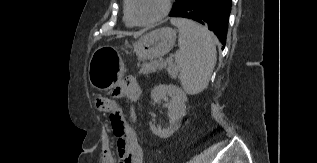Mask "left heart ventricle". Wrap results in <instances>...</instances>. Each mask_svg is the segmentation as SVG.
Returning <instances> with one entry per match:
<instances>
[{"instance_id": "obj_1", "label": "left heart ventricle", "mask_w": 317, "mask_h": 163, "mask_svg": "<svg viewBox=\"0 0 317 163\" xmlns=\"http://www.w3.org/2000/svg\"><path fill=\"white\" fill-rule=\"evenodd\" d=\"M164 0H132V12L140 21L150 20L159 15Z\"/></svg>"}]
</instances>
